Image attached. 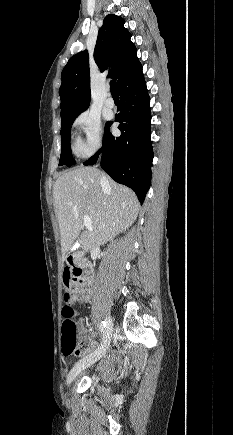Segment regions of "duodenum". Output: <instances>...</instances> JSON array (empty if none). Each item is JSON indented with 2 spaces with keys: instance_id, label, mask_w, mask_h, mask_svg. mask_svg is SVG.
I'll return each mask as SVG.
<instances>
[{
  "instance_id": "duodenum-1",
  "label": "duodenum",
  "mask_w": 233,
  "mask_h": 435,
  "mask_svg": "<svg viewBox=\"0 0 233 435\" xmlns=\"http://www.w3.org/2000/svg\"><path fill=\"white\" fill-rule=\"evenodd\" d=\"M69 264L70 269L74 273L75 276H77L78 279V287L81 291L80 298L83 302L88 301V296L84 291V286L80 283L81 277L89 271L90 266L89 264L84 260L83 255L81 253H74L69 258Z\"/></svg>"
}]
</instances>
